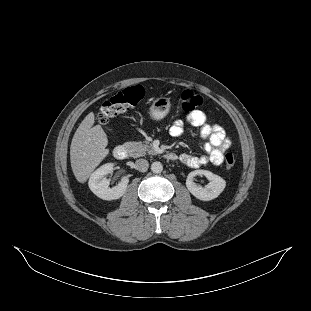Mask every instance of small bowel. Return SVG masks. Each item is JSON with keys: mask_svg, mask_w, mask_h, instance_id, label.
Instances as JSON below:
<instances>
[{"mask_svg": "<svg viewBox=\"0 0 311 311\" xmlns=\"http://www.w3.org/2000/svg\"><path fill=\"white\" fill-rule=\"evenodd\" d=\"M187 123L197 127L201 138L205 139V154L196 155L183 153L180 155V161L188 167L198 168L208 162L213 165H220L223 162L224 153L231 146L230 139L226 136L225 130L219 124H210L207 116L202 111H194L187 116ZM184 131V122L176 120L170 127V135L179 137Z\"/></svg>", "mask_w": 311, "mask_h": 311, "instance_id": "obj_1", "label": "small bowel"}]
</instances>
